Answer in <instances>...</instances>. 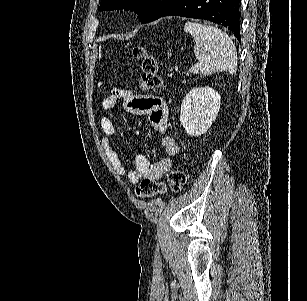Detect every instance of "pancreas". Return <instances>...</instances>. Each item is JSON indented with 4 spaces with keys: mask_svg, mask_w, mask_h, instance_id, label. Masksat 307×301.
<instances>
[{
    "mask_svg": "<svg viewBox=\"0 0 307 301\" xmlns=\"http://www.w3.org/2000/svg\"><path fill=\"white\" fill-rule=\"evenodd\" d=\"M189 72H193L192 68H189L188 72H184V74H186V76H189ZM182 84H186L185 78H183Z\"/></svg>",
    "mask_w": 307,
    "mask_h": 301,
    "instance_id": "cf45deb5",
    "label": "pancreas"
}]
</instances>
